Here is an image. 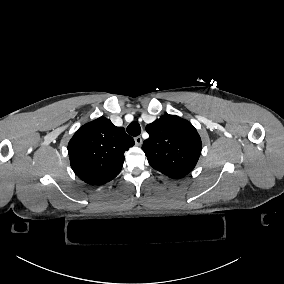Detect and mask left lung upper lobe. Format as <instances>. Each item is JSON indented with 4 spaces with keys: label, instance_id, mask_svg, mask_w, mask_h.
Masks as SVG:
<instances>
[{
    "label": "left lung upper lobe",
    "instance_id": "obj_1",
    "mask_svg": "<svg viewBox=\"0 0 284 284\" xmlns=\"http://www.w3.org/2000/svg\"><path fill=\"white\" fill-rule=\"evenodd\" d=\"M149 138L142 149L149 164L171 178H181L195 167L202 148L194 126L176 115H163L146 126Z\"/></svg>",
    "mask_w": 284,
    "mask_h": 284
}]
</instances>
